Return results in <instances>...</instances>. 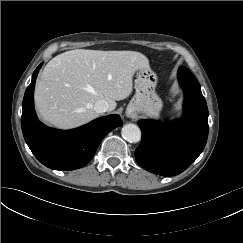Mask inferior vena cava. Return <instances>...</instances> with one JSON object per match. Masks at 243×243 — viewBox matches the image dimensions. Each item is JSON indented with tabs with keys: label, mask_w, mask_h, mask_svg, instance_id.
<instances>
[{
	"label": "inferior vena cava",
	"mask_w": 243,
	"mask_h": 243,
	"mask_svg": "<svg viewBox=\"0 0 243 243\" xmlns=\"http://www.w3.org/2000/svg\"><path fill=\"white\" fill-rule=\"evenodd\" d=\"M94 110L97 113H104L106 111L109 110V104L106 100H98L95 104H94Z\"/></svg>",
	"instance_id": "obj_1"
}]
</instances>
